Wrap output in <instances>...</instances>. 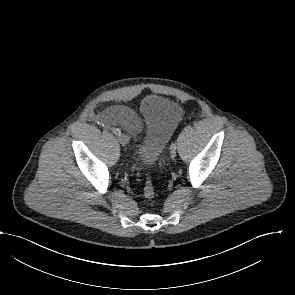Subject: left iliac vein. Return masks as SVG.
Wrapping results in <instances>:
<instances>
[{
	"label": "left iliac vein",
	"instance_id": "1",
	"mask_svg": "<svg viewBox=\"0 0 295 295\" xmlns=\"http://www.w3.org/2000/svg\"><path fill=\"white\" fill-rule=\"evenodd\" d=\"M176 155H177L176 149L175 148L170 149V157L174 159Z\"/></svg>",
	"mask_w": 295,
	"mask_h": 295
}]
</instances>
